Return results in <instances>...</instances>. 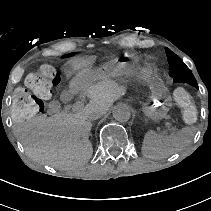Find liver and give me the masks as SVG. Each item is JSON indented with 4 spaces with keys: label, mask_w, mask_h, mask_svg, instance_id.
Instances as JSON below:
<instances>
[{
    "label": "liver",
    "mask_w": 211,
    "mask_h": 211,
    "mask_svg": "<svg viewBox=\"0 0 211 211\" xmlns=\"http://www.w3.org/2000/svg\"><path fill=\"white\" fill-rule=\"evenodd\" d=\"M89 65L75 67L78 73L69 81V87L78 86L86 92L90 105L106 113L114 101L126 95L123 85L110 81L92 85L86 76ZM14 135L24 145L28 155L57 169L71 170L89 161L93 144L89 140L92 122L83 109L73 115L46 114L29 121L15 122Z\"/></svg>",
    "instance_id": "1"
}]
</instances>
